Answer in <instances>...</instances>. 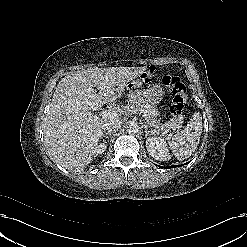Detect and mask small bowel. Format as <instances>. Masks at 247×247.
Listing matches in <instances>:
<instances>
[{"instance_id":"1","label":"small bowel","mask_w":247,"mask_h":247,"mask_svg":"<svg viewBox=\"0 0 247 247\" xmlns=\"http://www.w3.org/2000/svg\"><path fill=\"white\" fill-rule=\"evenodd\" d=\"M153 72H154L153 69L150 68L149 71L145 73L143 77L145 82L150 81L153 78Z\"/></svg>"}]
</instances>
